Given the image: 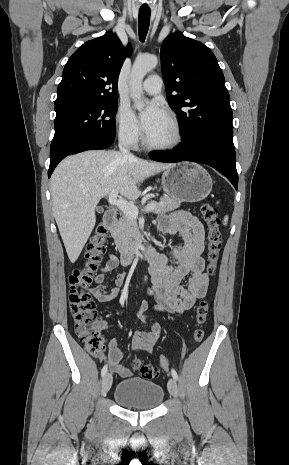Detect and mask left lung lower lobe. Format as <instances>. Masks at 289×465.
<instances>
[{
  "label": "left lung lower lobe",
  "instance_id": "0a47b994",
  "mask_svg": "<svg viewBox=\"0 0 289 465\" xmlns=\"http://www.w3.org/2000/svg\"><path fill=\"white\" fill-rule=\"evenodd\" d=\"M149 156L160 162L192 161L207 164L221 172L238 189L236 154L232 140L225 137L201 133L172 151H153Z\"/></svg>",
  "mask_w": 289,
  "mask_h": 465
}]
</instances>
